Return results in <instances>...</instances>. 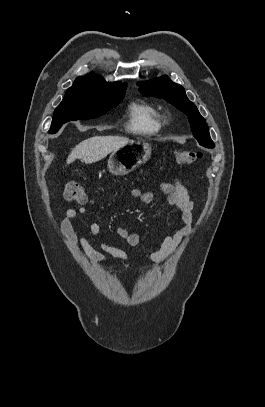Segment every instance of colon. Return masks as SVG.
I'll use <instances>...</instances> for the list:
<instances>
[{
    "label": "colon",
    "instance_id": "5ec220e1",
    "mask_svg": "<svg viewBox=\"0 0 265 407\" xmlns=\"http://www.w3.org/2000/svg\"><path fill=\"white\" fill-rule=\"evenodd\" d=\"M175 156L178 164L191 165L201 157V153L195 150H177ZM62 195L66 201L72 203L85 204L88 202L84 187L76 182L66 183Z\"/></svg>",
    "mask_w": 265,
    "mask_h": 407
}]
</instances>
